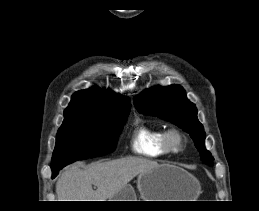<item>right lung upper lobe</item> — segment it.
<instances>
[{"instance_id": "right-lung-upper-lobe-1", "label": "right lung upper lobe", "mask_w": 259, "mask_h": 211, "mask_svg": "<svg viewBox=\"0 0 259 211\" xmlns=\"http://www.w3.org/2000/svg\"><path fill=\"white\" fill-rule=\"evenodd\" d=\"M130 107L128 97L93 87L74 93L69 106L64 110V115L75 112L96 115L122 114L129 113Z\"/></svg>"}]
</instances>
